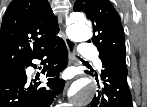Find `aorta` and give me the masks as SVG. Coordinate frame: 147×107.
<instances>
[{
    "label": "aorta",
    "instance_id": "obj_1",
    "mask_svg": "<svg viewBox=\"0 0 147 107\" xmlns=\"http://www.w3.org/2000/svg\"><path fill=\"white\" fill-rule=\"evenodd\" d=\"M68 37L74 41L82 42L90 39L92 32L82 20L74 19L66 28ZM96 92V85L87 79L76 81L71 89L72 102L76 106L88 104Z\"/></svg>",
    "mask_w": 147,
    "mask_h": 107
}]
</instances>
